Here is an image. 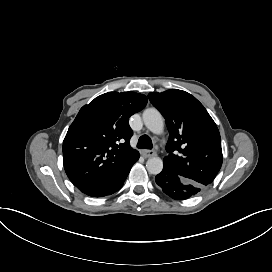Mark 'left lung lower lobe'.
I'll list each match as a JSON object with an SVG mask.
<instances>
[{
    "label": "left lung lower lobe",
    "instance_id": "0a47b994",
    "mask_svg": "<svg viewBox=\"0 0 272 272\" xmlns=\"http://www.w3.org/2000/svg\"><path fill=\"white\" fill-rule=\"evenodd\" d=\"M163 192L174 200H185L201 191L204 186L177 175L173 170L163 167L155 177Z\"/></svg>",
    "mask_w": 272,
    "mask_h": 272
}]
</instances>
